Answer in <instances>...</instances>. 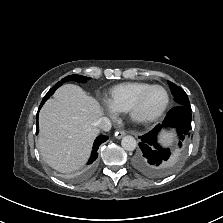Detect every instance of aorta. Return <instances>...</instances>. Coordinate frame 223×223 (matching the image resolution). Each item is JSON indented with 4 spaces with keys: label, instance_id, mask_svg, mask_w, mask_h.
<instances>
[{
    "label": "aorta",
    "instance_id": "aorta-1",
    "mask_svg": "<svg viewBox=\"0 0 223 223\" xmlns=\"http://www.w3.org/2000/svg\"><path fill=\"white\" fill-rule=\"evenodd\" d=\"M121 145L126 151H133L136 148V140L132 136H125L121 140Z\"/></svg>",
    "mask_w": 223,
    "mask_h": 223
}]
</instances>
